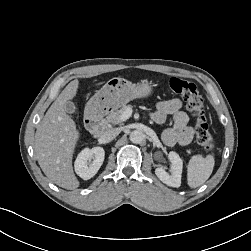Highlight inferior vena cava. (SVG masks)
I'll return each mask as SVG.
<instances>
[{
  "mask_svg": "<svg viewBox=\"0 0 251 251\" xmlns=\"http://www.w3.org/2000/svg\"><path fill=\"white\" fill-rule=\"evenodd\" d=\"M119 133H120V129L118 128L108 129L102 134L101 141L103 143H108L112 141L115 137H117Z\"/></svg>",
  "mask_w": 251,
  "mask_h": 251,
  "instance_id": "602c4592",
  "label": "inferior vena cava"
}]
</instances>
